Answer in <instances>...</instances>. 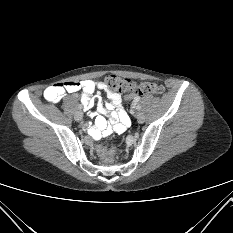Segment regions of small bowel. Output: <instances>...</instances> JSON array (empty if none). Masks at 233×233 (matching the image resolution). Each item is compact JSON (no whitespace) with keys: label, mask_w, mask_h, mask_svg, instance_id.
<instances>
[{"label":"small bowel","mask_w":233,"mask_h":233,"mask_svg":"<svg viewBox=\"0 0 233 233\" xmlns=\"http://www.w3.org/2000/svg\"><path fill=\"white\" fill-rule=\"evenodd\" d=\"M99 89L105 94L107 100L101 99L100 93L97 92V111L98 115L92 114L95 117V124L89 127V134L94 139L106 137L112 133H122L130 124V118L122 105V97L120 94L111 92L104 84L102 79L69 81L57 83L47 87L44 90V99L51 103H58L62 100L66 93H74L82 91L81 103L84 110H89L94 106V93Z\"/></svg>","instance_id":"obj_1"}]
</instances>
